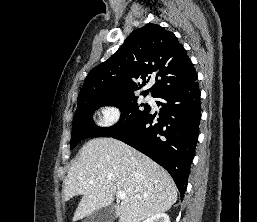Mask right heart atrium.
<instances>
[{"label":"right heart atrium","instance_id":"right-heart-atrium-1","mask_svg":"<svg viewBox=\"0 0 257 222\" xmlns=\"http://www.w3.org/2000/svg\"><path fill=\"white\" fill-rule=\"evenodd\" d=\"M110 113L107 115V120L105 121V125H113L115 124L121 116V110L119 107H113L106 111V113Z\"/></svg>","mask_w":257,"mask_h":222}]
</instances>
